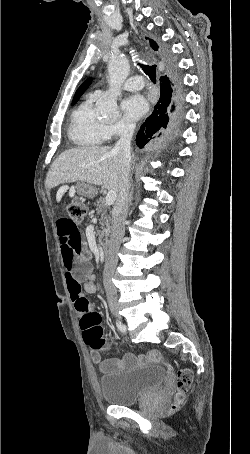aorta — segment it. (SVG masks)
I'll list each match as a JSON object with an SVG mask.
<instances>
[{
    "label": "aorta",
    "mask_w": 250,
    "mask_h": 454,
    "mask_svg": "<svg viewBox=\"0 0 250 454\" xmlns=\"http://www.w3.org/2000/svg\"><path fill=\"white\" fill-rule=\"evenodd\" d=\"M130 73V65L123 54H114L108 63V75L110 89L98 102L97 110L101 115L116 117L118 114L117 98L120 95V87Z\"/></svg>",
    "instance_id": "762f6f07"
}]
</instances>
